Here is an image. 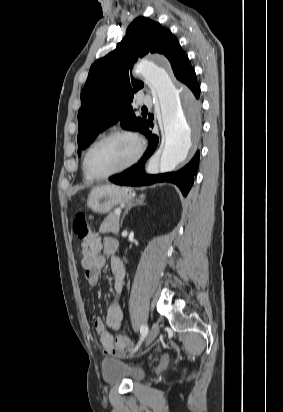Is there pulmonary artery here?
I'll return each mask as SVG.
<instances>
[{
    "instance_id": "1",
    "label": "pulmonary artery",
    "mask_w": 283,
    "mask_h": 412,
    "mask_svg": "<svg viewBox=\"0 0 283 412\" xmlns=\"http://www.w3.org/2000/svg\"><path fill=\"white\" fill-rule=\"evenodd\" d=\"M139 103L145 106H151V98L145 95H139Z\"/></svg>"
}]
</instances>
